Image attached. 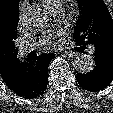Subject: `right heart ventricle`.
Instances as JSON below:
<instances>
[{
    "label": "right heart ventricle",
    "mask_w": 113,
    "mask_h": 113,
    "mask_svg": "<svg viewBox=\"0 0 113 113\" xmlns=\"http://www.w3.org/2000/svg\"><path fill=\"white\" fill-rule=\"evenodd\" d=\"M42 3L49 9H54L56 7H59L61 0H41Z\"/></svg>",
    "instance_id": "e07e8e85"
}]
</instances>
